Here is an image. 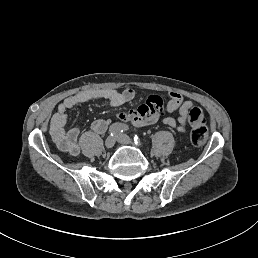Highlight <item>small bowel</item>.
<instances>
[{
    "mask_svg": "<svg viewBox=\"0 0 258 258\" xmlns=\"http://www.w3.org/2000/svg\"><path fill=\"white\" fill-rule=\"evenodd\" d=\"M168 96L169 101L165 106L162 97L150 95L147 101L137 109L120 112L117 117L120 121L131 122L136 127L154 124L162 118L165 125L179 132H184L188 123L192 126L203 124L204 115L199 107L193 106L190 100H184L180 93L170 91ZM134 97L135 91L131 88H126L122 91L94 88L80 91L65 98L58 105L56 112L50 120V135L53 142L59 150L67 152L72 156H77L80 153L78 143L80 129L78 126H74L66 130L67 110L79 104L96 100H107L111 106L119 107L133 100ZM176 111L179 112L177 119L166 116V114ZM108 127V121L102 119L95 120L91 124L92 131L97 134H103Z\"/></svg>",
    "mask_w": 258,
    "mask_h": 258,
    "instance_id": "c3829d8e",
    "label": "small bowel"
}]
</instances>
